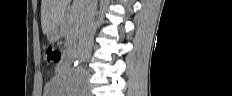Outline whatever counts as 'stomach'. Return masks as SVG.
<instances>
[{
    "instance_id": "obj_1",
    "label": "stomach",
    "mask_w": 232,
    "mask_h": 96,
    "mask_svg": "<svg viewBox=\"0 0 232 96\" xmlns=\"http://www.w3.org/2000/svg\"><path fill=\"white\" fill-rule=\"evenodd\" d=\"M61 35H62L61 30L59 29V27H57L54 30H52L50 33H48L47 39L49 42L54 43L60 39Z\"/></svg>"
}]
</instances>
